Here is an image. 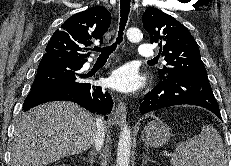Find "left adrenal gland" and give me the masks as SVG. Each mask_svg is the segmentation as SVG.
<instances>
[{
  "label": "left adrenal gland",
  "instance_id": "left-adrenal-gland-1",
  "mask_svg": "<svg viewBox=\"0 0 231 166\" xmlns=\"http://www.w3.org/2000/svg\"><path fill=\"white\" fill-rule=\"evenodd\" d=\"M147 161H153L151 160L144 152H143V161H142V166H144Z\"/></svg>",
  "mask_w": 231,
  "mask_h": 166
}]
</instances>
